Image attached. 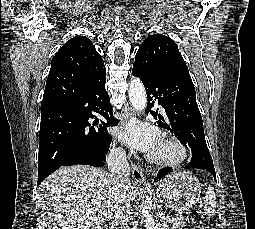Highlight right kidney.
<instances>
[{
    "label": "right kidney",
    "mask_w": 255,
    "mask_h": 229,
    "mask_svg": "<svg viewBox=\"0 0 255 229\" xmlns=\"http://www.w3.org/2000/svg\"><path fill=\"white\" fill-rule=\"evenodd\" d=\"M93 229H102L100 225H97L95 228Z\"/></svg>",
    "instance_id": "right-kidney-1"
}]
</instances>
